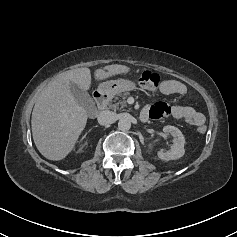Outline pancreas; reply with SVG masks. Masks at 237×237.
<instances>
[{"instance_id": "cf45deb5", "label": "pancreas", "mask_w": 237, "mask_h": 237, "mask_svg": "<svg viewBox=\"0 0 237 237\" xmlns=\"http://www.w3.org/2000/svg\"><path fill=\"white\" fill-rule=\"evenodd\" d=\"M127 95L128 94H125V96L123 97V101H119L116 103L110 102L108 104L109 109H112L114 111L122 110L125 106H127L126 102L124 101V99H126Z\"/></svg>"}]
</instances>
